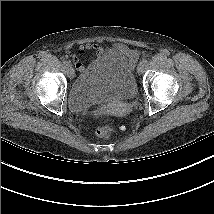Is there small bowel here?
<instances>
[{
  "mask_svg": "<svg viewBox=\"0 0 214 214\" xmlns=\"http://www.w3.org/2000/svg\"><path fill=\"white\" fill-rule=\"evenodd\" d=\"M113 50L119 55L124 56L131 66H133L139 58V53L136 50H130L127 46L120 43L115 44ZM85 51H93L94 56L99 57L106 50L97 43H85L79 47L78 54L82 55ZM70 56L73 58L75 68L80 72L84 71L85 65L83 62L74 53H71Z\"/></svg>",
  "mask_w": 214,
  "mask_h": 214,
  "instance_id": "small-bowel-1",
  "label": "small bowel"
}]
</instances>
